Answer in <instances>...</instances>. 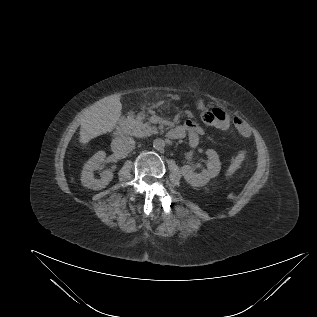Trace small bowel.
Returning a JSON list of instances; mask_svg holds the SVG:
<instances>
[{"label": "small bowel", "mask_w": 317, "mask_h": 317, "mask_svg": "<svg viewBox=\"0 0 317 317\" xmlns=\"http://www.w3.org/2000/svg\"><path fill=\"white\" fill-rule=\"evenodd\" d=\"M231 122L241 135L245 137L250 135V128L248 124L239 116H235L231 119L228 114L225 113L223 123L220 124L219 127L221 129H225L230 125ZM202 134L203 129L197 123L192 120H187L184 125L171 129L169 132V137L172 139H179L187 135L190 145L195 146L197 145L199 137Z\"/></svg>", "instance_id": "1"}]
</instances>
